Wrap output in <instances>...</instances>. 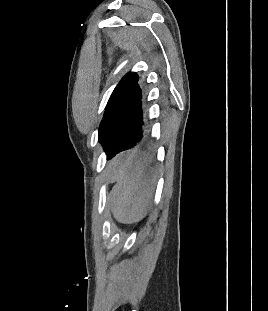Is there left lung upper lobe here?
<instances>
[{"instance_id":"left-lung-upper-lobe-1","label":"left lung upper lobe","mask_w":268,"mask_h":311,"mask_svg":"<svg viewBox=\"0 0 268 311\" xmlns=\"http://www.w3.org/2000/svg\"><path fill=\"white\" fill-rule=\"evenodd\" d=\"M139 81L135 72L127 73L115 87L105 108V113L99 127L98 140L106 151L114 132L117 129L119 115L126 105L132 89ZM148 112V111H147Z\"/></svg>"}]
</instances>
